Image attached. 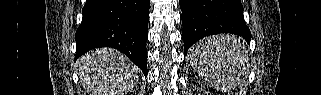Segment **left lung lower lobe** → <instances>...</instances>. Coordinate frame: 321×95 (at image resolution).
Here are the masks:
<instances>
[{
  "label": "left lung lower lobe",
  "instance_id": "obj_1",
  "mask_svg": "<svg viewBox=\"0 0 321 95\" xmlns=\"http://www.w3.org/2000/svg\"><path fill=\"white\" fill-rule=\"evenodd\" d=\"M179 4L185 55L195 42L212 34L232 33L250 42L240 0H179Z\"/></svg>",
  "mask_w": 321,
  "mask_h": 95
}]
</instances>
